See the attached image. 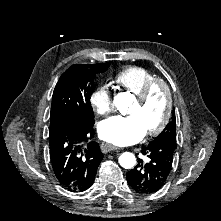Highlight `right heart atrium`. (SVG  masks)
<instances>
[{
	"instance_id": "obj_1",
	"label": "right heart atrium",
	"mask_w": 221,
	"mask_h": 221,
	"mask_svg": "<svg viewBox=\"0 0 221 221\" xmlns=\"http://www.w3.org/2000/svg\"><path fill=\"white\" fill-rule=\"evenodd\" d=\"M92 109L101 116L108 115L112 110V96L106 86H99L90 95Z\"/></svg>"
}]
</instances>
